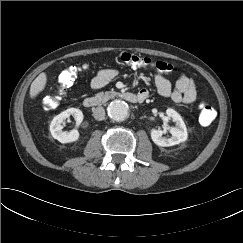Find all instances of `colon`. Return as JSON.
Segmentation results:
<instances>
[{"mask_svg":"<svg viewBox=\"0 0 243 243\" xmlns=\"http://www.w3.org/2000/svg\"><path fill=\"white\" fill-rule=\"evenodd\" d=\"M119 60L127 65L133 67H150L158 71L160 74H173L177 71V69L163 61L154 62L147 57H143L141 55L132 54V53H122L119 56ZM89 68V64L83 63L77 66H68L64 68L59 74V87L54 94L48 95L43 99V106L45 109H54L58 106L62 97L66 93L67 89L72 86L78 74L82 71H86ZM199 120L203 125L211 124L215 117L216 112L208 104L201 103L199 105Z\"/></svg>","mask_w":243,"mask_h":243,"instance_id":"1","label":"colon"}]
</instances>
